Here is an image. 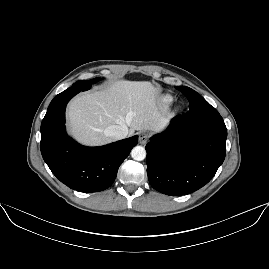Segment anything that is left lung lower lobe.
I'll return each instance as SVG.
<instances>
[{"instance_id":"0a47b994","label":"left lung lower lobe","mask_w":269,"mask_h":269,"mask_svg":"<svg viewBox=\"0 0 269 269\" xmlns=\"http://www.w3.org/2000/svg\"><path fill=\"white\" fill-rule=\"evenodd\" d=\"M227 129L220 114L172 119L168 129L146 145L151 186L171 196L190 194L206 185L223 163Z\"/></svg>"}]
</instances>
